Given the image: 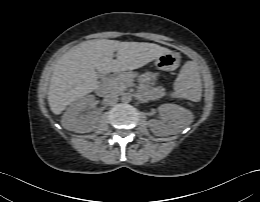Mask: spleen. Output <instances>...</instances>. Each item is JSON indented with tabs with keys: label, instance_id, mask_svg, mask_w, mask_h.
Listing matches in <instances>:
<instances>
[{
	"label": "spleen",
	"instance_id": "1",
	"mask_svg": "<svg viewBox=\"0 0 260 202\" xmlns=\"http://www.w3.org/2000/svg\"><path fill=\"white\" fill-rule=\"evenodd\" d=\"M201 91V79L194 63H185L178 75V85L175 89V94L197 102L201 99Z\"/></svg>",
	"mask_w": 260,
	"mask_h": 202
}]
</instances>
